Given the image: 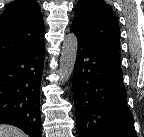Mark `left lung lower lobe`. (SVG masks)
<instances>
[{
    "label": "left lung lower lobe",
    "mask_w": 144,
    "mask_h": 137,
    "mask_svg": "<svg viewBox=\"0 0 144 137\" xmlns=\"http://www.w3.org/2000/svg\"><path fill=\"white\" fill-rule=\"evenodd\" d=\"M73 95L79 137H137L127 106L121 57L76 34Z\"/></svg>",
    "instance_id": "1"
}]
</instances>
